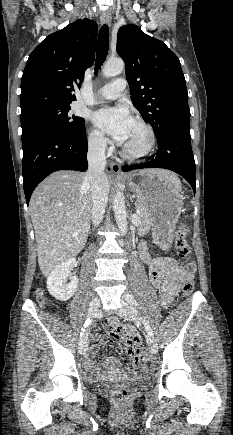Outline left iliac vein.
I'll use <instances>...</instances> for the list:
<instances>
[{"label": "left iliac vein", "mask_w": 233, "mask_h": 435, "mask_svg": "<svg viewBox=\"0 0 233 435\" xmlns=\"http://www.w3.org/2000/svg\"><path fill=\"white\" fill-rule=\"evenodd\" d=\"M119 314L128 321H138L140 324L143 323V319L139 315L136 308L128 302L122 301V308L120 309ZM147 341L150 352L156 353L158 347L155 338L151 335H148Z\"/></svg>", "instance_id": "left-iliac-vein-1"}]
</instances>
